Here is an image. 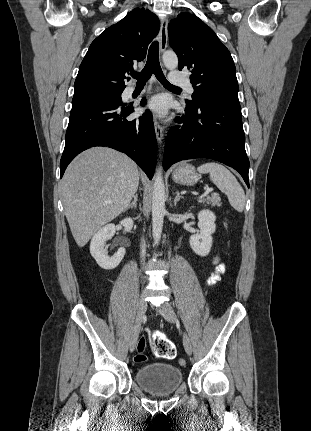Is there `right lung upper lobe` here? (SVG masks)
<instances>
[{
	"label": "right lung upper lobe",
	"mask_w": 311,
	"mask_h": 431,
	"mask_svg": "<svg viewBox=\"0 0 311 431\" xmlns=\"http://www.w3.org/2000/svg\"><path fill=\"white\" fill-rule=\"evenodd\" d=\"M159 27V20L152 12L135 8L107 28L92 42L81 62L74 95L122 92L126 87L123 79L133 69L134 62L146 57Z\"/></svg>",
	"instance_id": "1"
}]
</instances>
